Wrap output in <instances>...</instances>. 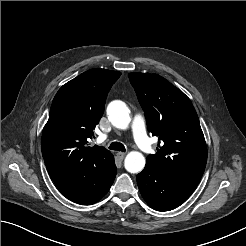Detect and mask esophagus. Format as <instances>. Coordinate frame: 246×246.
I'll list each match as a JSON object with an SVG mask.
<instances>
[{
	"mask_svg": "<svg viewBox=\"0 0 246 246\" xmlns=\"http://www.w3.org/2000/svg\"><path fill=\"white\" fill-rule=\"evenodd\" d=\"M117 158H119L120 160H122L125 157V153L124 152H117L116 153Z\"/></svg>",
	"mask_w": 246,
	"mask_h": 246,
	"instance_id": "esophagus-1",
	"label": "esophagus"
}]
</instances>
